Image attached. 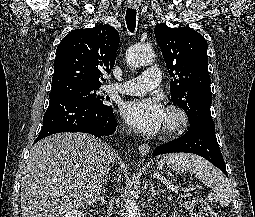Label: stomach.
Returning a JSON list of instances; mask_svg holds the SVG:
<instances>
[{
  "mask_svg": "<svg viewBox=\"0 0 255 217\" xmlns=\"http://www.w3.org/2000/svg\"><path fill=\"white\" fill-rule=\"evenodd\" d=\"M168 166L172 169V171H176L177 173H183L186 171L185 168L180 165L168 164Z\"/></svg>",
  "mask_w": 255,
  "mask_h": 217,
  "instance_id": "1",
  "label": "stomach"
}]
</instances>
